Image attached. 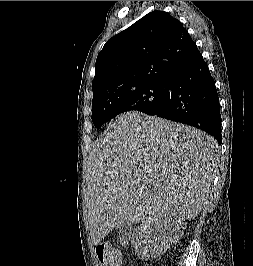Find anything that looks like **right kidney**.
I'll return each mask as SVG.
<instances>
[{
	"label": "right kidney",
	"instance_id": "right-kidney-1",
	"mask_svg": "<svg viewBox=\"0 0 253 266\" xmlns=\"http://www.w3.org/2000/svg\"><path fill=\"white\" fill-rule=\"evenodd\" d=\"M185 227L186 223L181 219L145 221L133 231L131 245L139 257L156 258L179 241Z\"/></svg>",
	"mask_w": 253,
	"mask_h": 266
}]
</instances>
